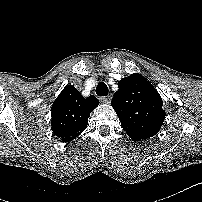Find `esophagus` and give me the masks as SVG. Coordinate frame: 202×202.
Here are the masks:
<instances>
[{
  "label": "esophagus",
  "mask_w": 202,
  "mask_h": 202,
  "mask_svg": "<svg viewBox=\"0 0 202 202\" xmlns=\"http://www.w3.org/2000/svg\"><path fill=\"white\" fill-rule=\"evenodd\" d=\"M99 100L101 102H104V103H110V101H111V95H108L106 97H99Z\"/></svg>",
  "instance_id": "esophagus-1"
}]
</instances>
